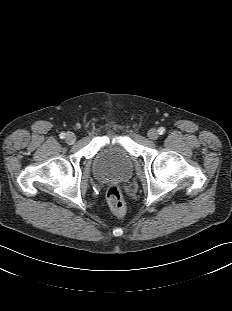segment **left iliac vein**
Listing matches in <instances>:
<instances>
[{"label":"left iliac vein","instance_id":"1","mask_svg":"<svg viewBox=\"0 0 232 311\" xmlns=\"http://www.w3.org/2000/svg\"><path fill=\"white\" fill-rule=\"evenodd\" d=\"M148 138L152 141L156 140L159 137L158 131L154 128L148 131Z\"/></svg>","mask_w":232,"mask_h":311}]
</instances>
